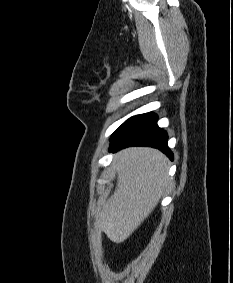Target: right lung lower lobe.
Listing matches in <instances>:
<instances>
[{"label": "right lung lower lobe", "mask_w": 233, "mask_h": 283, "mask_svg": "<svg viewBox=\"0 0 233 283\" xmlns=\"http://www.w3.org/2000/svg\"><path fill=\"white\" fill-rule=\"evenodd\" d=\"M157 119L153 113L131 117L113 133L109 151L116 152L129 146H150L173 160V154L167 145V133L158 127Z\"/></svg>", "instance_id": "right-lung-lower-lobe-1"}]
</instances>
